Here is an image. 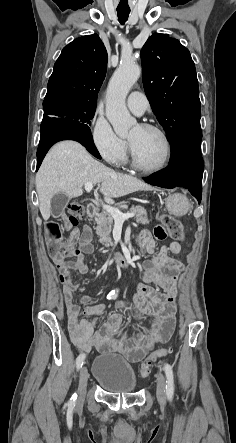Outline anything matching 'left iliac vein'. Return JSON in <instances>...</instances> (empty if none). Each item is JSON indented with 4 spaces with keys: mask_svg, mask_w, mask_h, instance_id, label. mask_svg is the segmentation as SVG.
I'll use <instances>...</instances> for the list:
<instances>
[{
    "mask_svg": "<svg viewBox=\"0 0 236 443\" xmlns=\"http://www.w3.org/2000/svg\"><path fill=\"white\" fill-rule=\"evenodd\" d=\"M165 387H166V379H165L164 375L161 372H158L157 373L156 396H157V400H158L161 408H164L165 405H166Z\"/></svg>",
    "mask_w": 236,
    "mask_h": 443,
    "instance_id": "obj_1",
    "label": "left iliac vein"
}]
</instances>
